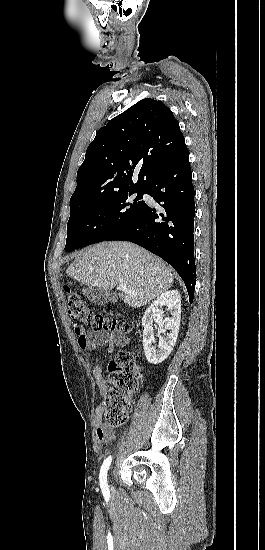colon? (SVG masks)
<instances>
[{
    "label": "colon",
    "instance_id": "1",
    "mask_svg": "<svg viewBox=\"0 0 265 550\" xmlns=\"http://www.w3.org/2000/svg\"><path fill=\"white\" fill-rule=\"evenodd\" d=\"M70 316L78 323L95 331L126 332L131 329L127 321L117 320L91 311L82 297L65 287ZM109 377L102 401L105 426L112 429L122 426L132 410V396L137 392L140 371L131 351L121 350L109 363Z\"/></svg>",
    "mask_w": 265,
    "mask_h": 550
}]
</instances>
